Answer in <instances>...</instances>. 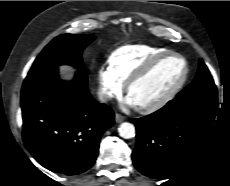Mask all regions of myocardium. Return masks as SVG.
<instances>
[{
	"instance_id": "obj_1",
	"label": "myocardium",
	"mask_w": 230,
	"mask_h": 186,
	"mask_svg": "<svg viewBox=\"0 0 230 186\" xmlns=\"http://www.w3.org/2000/svg\"><path fill=\"white\" fill-rule=\"evenodd\" d=\"M177 57L180 60H182L184 64V71L180 79L158 100H156L153 103H150L148 105L143 106H137V109L146 114H150L153 112H156L163 108L165 105H167L174 97L175 95L180 91V89L185 84L188 75H189V64L184 56H182L179 53L173 52V51H166L161 54H158L151 59H149L141 68H139L135 73H133L125 82V91L126 93L129 92V89L131 86L145 77L147 74H149L152 69L163 59L167 57Z\"/></svg>"
}]
</instances>
